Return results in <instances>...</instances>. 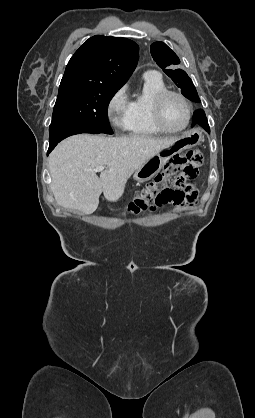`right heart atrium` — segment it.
Listing matches in <instances>:
<instances>
[{"label": "right heart atrium", "instance_id": "obj_1", "mask_svg": "<svg viewBox=\"0 0 255 418\" xmlns=\"http://www.w3.org/2000/svg\"><path fill=\"white\" fill-rule=\"evenodd\" d=\"M131 102L127 97L125 86L120 87L109 99L107 116L116 129L125 130L129 124Z\"/></svg>", "mask_w": 255, "mask_h": 418}]
</instances>
